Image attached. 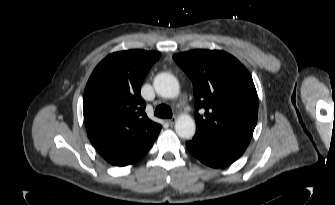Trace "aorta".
<instances>
[{
	"instance_id": "762f6f07",
	"label": "aorta",
	"mask_w": 335,
	"mask_h": 205,
	"mask_svg": "<svg viewBox=\"0 0 335 205\" xmlns=\"http://www.w3.org/2000/svg\"><path fill=\"white\" fill-rule=\"evenodd\" d=\"M156 93L164 98L173 99L179 95V83L170 73L158 74L153 82ZM195 122L187 114L180 115L175 122V131L183 139H191L195 134Z\"/></svg>"
}]
</instances>
